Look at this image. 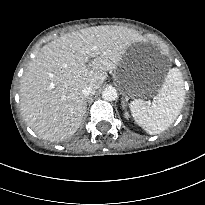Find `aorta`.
<instances>
[{
  "label": "aorta",
  "mask_w": 205,
  "mask_h": 205,
  "mask_svg": "<svg viewBox=\"0 0 205 205\" xmlns=\"http://www.w3.org/2000/svg\"><path fill=\"white\" fill-rule=\"evenodd\" d=\"M102 98L106 101H114L117 98V91L114 87H106L102 91Z\"/></svg>",
  "instance_id": "obj_1"
}]
</instances>
